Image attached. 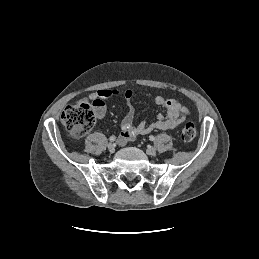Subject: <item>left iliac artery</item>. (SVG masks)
<instances>
[{"instance_id": "obj_1", "label": "left iliac artery", "mask_w": 259, "mask_h": 259, "mask_svg": "<svg viewBox=\"0 0 259 259\" xmlns=\"http://www.w3.org/2000/svg\"><path fill=\"white\" fill-rule=\"evenodd\" d=\"M149 139H150L151 141H154V140H155V137H154L153 135H151V136H149Z\"/></svg>"}]
</instances>
